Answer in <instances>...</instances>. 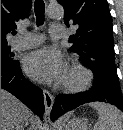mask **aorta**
Returning a JSON list of instances; mask_svg holds the SVG:
<instances>
[{
  "label": "aorta",
  "instance_id": "obj_1",
  "mask_svg": "<svg viewBox=\"0 0 123 130\" xmlns=\"http://www.w3.org/2000/svg\"><path fill=\"white\" fill-rule=\"evenodd\" d=\"M47 16L53 19H61L64 16V9L58 3H51L47 8ZM44 130H49V126H45Z\"/></svg>",
  "mask_w": 123,
  "mask_h": 130
}]
</instances>
